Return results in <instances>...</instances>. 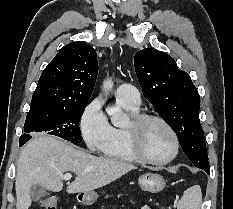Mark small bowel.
I'll use <instances>...</instances> for the list:
<instances>
[{
	"mask_svg": "<svg viewBox=\"0 0 233 209\" xmlns=\"http://www.w3.org/2000/svg\"><path fill=\"white\" fill-rule=\"evenodd\" d=\"M139 209H151V207H149V206H143V207H141V208H139Z\"/></svg>",
	"mask_w": 233,
	"mask_h": 209,
	"instance_id": "obj_1",
	"label": "small bowel"
}]
</instances>
